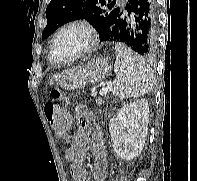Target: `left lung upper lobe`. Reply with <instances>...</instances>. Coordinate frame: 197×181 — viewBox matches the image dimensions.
I'll return each instance as SVG.
<instances>
[{"instance_id": "obj_1", "label": "left lung upper lobe", "mask_w": 197, "mask_h": 181, "mask_svg": "<svg viewBox=\"0 0 197 181\" xmlns=\"http://www.w3.org/2000/svg\"><path fill=\"white\" fill-rule=\"evenodd\" d=\"M120 10L116 0H51L46 9L47 25L42 38L76 19L90 22L102 38Z\"/></svg>"}]
</instances>
